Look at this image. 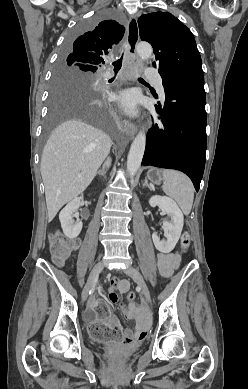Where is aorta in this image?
Returning <instances> with one entry per match:
<instances>
[{
	"label": "aorta",
	"mask_w": 248,
	"mask_h": 389,
	"mask_svg": "<svg viewBox=\"0 0 248 389\" xmlns=\"http://www.w3.org/2000/svg\"><path fill=\"white\" fill-rule=\"evenodd\" d=\"M152 52L153 50L149 43L142 42L137 45V53L142 59H148ZM145 144L146 136L141 131L133 140L127 157V171L130 177H133L141 166Z\"/></svg>",
	"instance_id": "762f6f07"
}]
</instances>
